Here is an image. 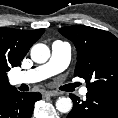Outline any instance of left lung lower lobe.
<instances>
[{
  "instance_id": "1",
  "label": "left lung lower lobe",
  "mask_w": 118,
  "mask_h": 118,
  "mask_svg": "<svg viewBox=\"0 0 118 118\" xmlns=\"http://www.w3.org/2000/svg\"><path fill=\"white\" fill-rule=\"evenodd\" d=\"M73 108L67 118H118V98L87 92L86 100L70 94Z\"/></svg>"
}]
</instances>
